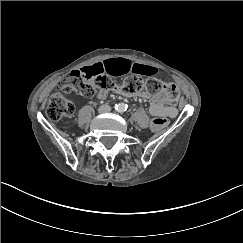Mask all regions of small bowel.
Masks as SVG:
<instances>
[{
  "label": "small bowel",
  "instance_id": "small-bowel-1",
  "mask_svg": "<svg viewBox=\"0 0 243 243\" xmlns=\"http://www.w3.org/2000/svg\"><path fill=\"white\" fill-rule=\"evenodd\" d=\"M83 73H107L112 76H120L129 72L140 75H154L156 68L142 63L132 62L128 59L119 58L98 62L82 69ZM104 94H99V98H104ZM150 112L154 116L174 118L177 115V109L167 105L166 101L156 96L152 99Z\"/></svg>",
  "mask_w": 243,
  "mask_h": 243
}]
</instances>
